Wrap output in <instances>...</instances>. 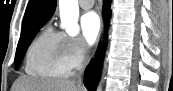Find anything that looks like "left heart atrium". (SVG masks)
I'll list each match as a JSON object with an SVG mask.
<instances>
[{"label": "left heart atrium", "instance_id": "left-heart-atrium-1", "mask_svg": "<svg viewBox=\"0 0 173 91\" xmlns=\"http://www.w3.org/2000/svg\"><path fill=\"white\" fill-rule=\"evenodd\" d=\"M81 30L85 41L88 44H93L101 30L100 18L94 11L86 12L81 17Z\"/></svg>", "mask_w": 173, "mask_h": 91}]
</instances>
